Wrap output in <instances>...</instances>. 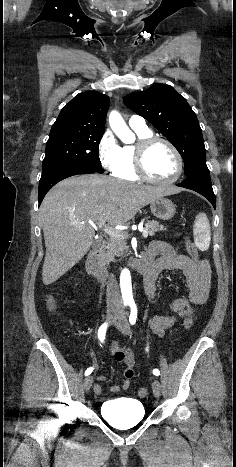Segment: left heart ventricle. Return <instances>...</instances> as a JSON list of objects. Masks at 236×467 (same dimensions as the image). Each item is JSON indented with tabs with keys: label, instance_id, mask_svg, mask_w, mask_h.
<instances>
[{
	"label": "left heart ventricle",
	"instance_id": "left-heart-ventricle-1",
	"mask_svg": "<svg viewBox=\"0 0 236 467\" xmlns=\"http://www.w3.org/2000/svg\"><path fill=\"white\" fill-rule=\"evenodd\" d=\"M146 169L153 178L167 180L176 174L177 160L169 147L155 143L146 156Z\"/></svg>",
	"mask_w": 236,
	"mask_h": 467
}]
</instances>
